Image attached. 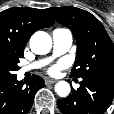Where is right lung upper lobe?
I'll list each match as a JSON object with an SVG mask.
<instances>
[{
    "instance_id": "cb5924a9",
    "label": "right lung upper lobe",
    "mask_w": 114,
    "mask_h": 114,
    "mask_svg": "<svg viewBox=\"0 0 114 114\" xmlns=\"http://www.w3.org/2000/svg\"><path fill=\"white\" fill-rule=\"evenodd\" d=\"M53 23L54 19L43 9L14 7L0 12V53L23 55L31 35Z\"/></svg>"
}]
</instances>
